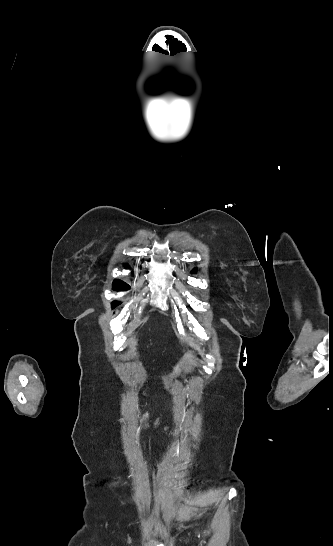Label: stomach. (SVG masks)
Listing matches in <instances>:
<instances>
[{"label":"stomach","instance_id":"obj_1","mask_svg":"<svg viewBox=\"0 0 333 546\" xmlns=\"http://www.w3.org/2000/svg\"><path fill=\"white\" fill-rule=\"evenodd\" d=\"M180 367H181V364H177L175 367H174V372H173V375L178 373L180 371Z\"/></svg>","mask_w":333,"mask_h":546}]
</instances>
